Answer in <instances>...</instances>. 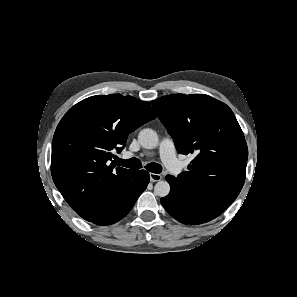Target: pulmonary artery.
<instances>
[{"label": "pulmonary artery", "instance_id": "obj_1", "mask_svg": "<svg viewBox=\"0 0 297 297\" xmlns=\"http://www.w3.org/2000/svg\"><path fill=\"white\" fill-rule=\"evenodd\" d=\"M160 156L165 166L175 174H178L181 170L179 161L175 155V145L171 138H163L160 142Z\"/></svg>", "mask_w": 297, "mask_h": 297}]
</instances>
